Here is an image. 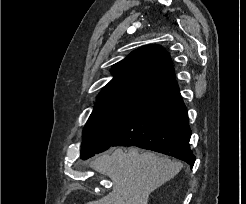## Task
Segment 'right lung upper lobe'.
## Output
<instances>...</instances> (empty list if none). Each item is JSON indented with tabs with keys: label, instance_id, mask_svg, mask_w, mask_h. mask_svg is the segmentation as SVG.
Masks as SVG:
<instances>
[{
	"label": "right lung upper lobe",
	"instance_id": "obj_1",
	"mask_svg": "<svg viewBox=\"0 0 246 204\" xmlns=\"http://www.w3.org/2000/svg\"><path fill=\"white\" fill-rule=\"evenodd\" d=\"M114 78L98 95V101L138 99L175 79L170 55L159 45L133 51L112 67Z\"/></svg>",
	"mask_w": 246,
	"mask_h": 204
}]
</instances>
